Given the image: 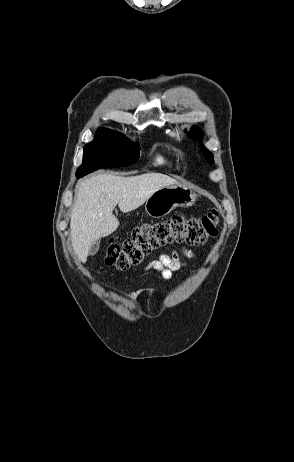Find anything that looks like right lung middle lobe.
<instances>
[{
  "mask_svg": "<svg viewBox=\"0 0 294 462\" xmlns=\"http://www.w3.org/2000/svg\"><path fill=\"white\" fill-rule=\"evenodd\" d=\"M140 146L127 140L124 135L110 129L99 128L95 139L84 146L83 163L77 169L76 176H80L91 167V159L98 153H106L117 160V167L127 166L139 158Z\"/></svg>",
  "mask_w": 294,
  "mask_h": 462,
  "instance_id": "dd1d6c3e",
  "label": "right lung middle lobe"
}]
</instances>
